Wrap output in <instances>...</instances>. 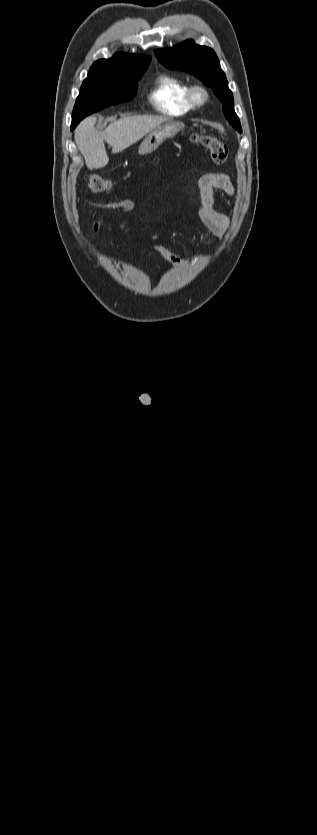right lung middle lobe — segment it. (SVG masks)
I'll return each instance as SVG.
<instances>
[{
    "label": "right lung middle lobe",
    "mask_w": 317,
    "mask_h": 835,
    "mask_svg": "<svg viewBox=\"0 0 317 835\" xmlns=\"http://www.w3.org/2000/svg\"><path fill=\"white\" fill-rule=\"evenodd\" d=\"M149 64L131 71H116L88 76L81 86L73 114L72 127L87 115L107 106L131 100L137 93V81Z\"/></svg>",
    "instance_id": "dd1d6c3e"
}]
</instances>
